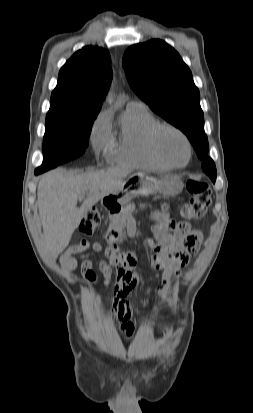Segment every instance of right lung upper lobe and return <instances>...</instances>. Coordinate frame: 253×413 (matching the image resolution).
I'll list each match as a JSON object with an SVG mask.
<instances>
[{
    "label": "right lung upper lobe",
    "instance_id": "1",
    "mask_svg": "<svg viewBox=\"0 0 253 413\" xmlns=\"http://www.w3.org/2000/svg\"><path fill=\"white\" fill-rule=\"evenodd\" d=\"M111 80L109 52L82 48L61 68L47 116H97Z\"/></svg>",
    "mask_w": 253,
    "mask_h": 413
}]
</instances>
